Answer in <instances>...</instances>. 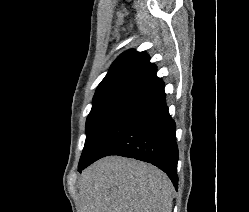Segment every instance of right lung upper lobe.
I'll return each mask as SVG.
<instances>
[{"label": "right lung upper lobe", "mask_w": 249, "mask_h": 212, "mask_svg": "<svg viewBox=\"0 0 249 212\" xmlns=\"http://www.w3.org/2000/svg\"><path fill=\"white\" fill-rule=\"evenodd\" d=\"M156 72V65L146 52L128 50L113 62L94 98L112 93L146 94L164 84Z\"/></svg>", "instance_id": "cb5924a9"}]
</instances>
